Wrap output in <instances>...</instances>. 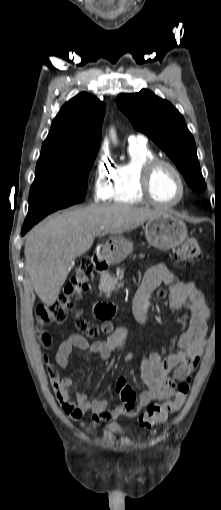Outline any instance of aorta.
I'll return each instance as SVG.
<instances>
[{"instance_id": "obj_1", "label": "aorta", "mask_w": 221, "mask_h": 510, "mask_svg": "<svg viewBox=\"0 0 221 510\" xmlns=\"http://www.w3.org/2000/svg\"><path fill=\"white\" fill-rule=\"evenodd\" d=\"M111 134H112V139L115 140V135H114L113 131L111 132Z\"/></svg>"}]
</instances>
